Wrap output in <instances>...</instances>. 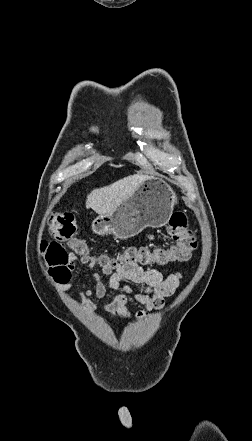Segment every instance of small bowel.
<instances>
[{"instance_id":"1","label":"small bowel","mask_w":252,"mask_h":441,"mask_svg":"<svg viewBox=\"0 0 252 441\" xmlns=\"http://www.w3.org/2000/svg\"><path fill=\"white\" fill-rule=\"evenodd\" d=\"M150 239L153 237L150 236ZM79 262L94 268L98 263L95 258L89 255H71L70 272L68 277L59 282L63 288L71 286V279L74 263ZM102 272L108 277V286L102 281L100 275L93 274V289L79 291L80 297L89 309H95V305L90 302L92 297L102 299L105 297L107 288L117 292L112 300L106 304L105 310L112 316L126 319H142L149 312L162 308L165 298L171 296L179 286L181 274L165 273L156 269H144L138 264H119L115 269L111 265H104ZM136 284L140 287L139 291H134L128 284ZM78 288V286H76ZM128 297H133L138 303L144 305L145 310L131 313L126 305Z\"/></svg>"}]
</instances>
